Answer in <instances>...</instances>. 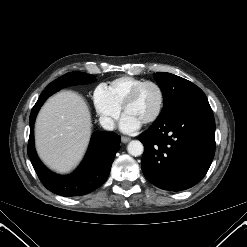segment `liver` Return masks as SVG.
<instances>
[{
    "label": "liver",
    "instance_id": "1",
    "mask_svg": "<svg viewBox=\"0 0 247 247\" xmlns=\"http://www.w3.org/2000/svg\"><path fill=\"white\" fill-rule=\"evenodd\" d=\"M86 101L72 91H61L43 105L35 125L36 149L51 169L67 173L83 157L91 135Z\"/></svg>",
    "mask_w": 247,
    "mask_h": 247
}]
</instances>
